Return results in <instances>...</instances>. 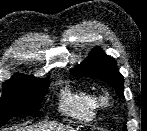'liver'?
I'll return each instance as SVG.
<instances>
[{"label":"liver","mask_w":147,"mask_h":131,"mask_svg":"<svg viewBox=\"0 0 147 131\" xmlns=\"http://www.w3.org/2000/svg\"><path fill=\"white\" fill-rule=\"evenodd\" d=\"M17 131H75V129L69 125H63L61 123L41 122L22 127Z\"/></svg>","instance_id":"1"}]
</instances>
